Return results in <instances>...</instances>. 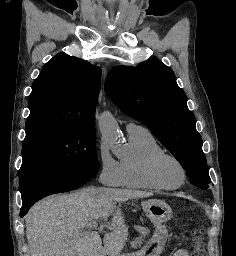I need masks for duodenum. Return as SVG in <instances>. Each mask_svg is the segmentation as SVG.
Returning a JSON list of instances; mask_svg holds the SVG:
<instances>
[{"mask_svg":"<svg viewBox=\"0 0 236 256\" xmlns=\"http://www.w3.org/2000/svg\"><path fill=\"white\" fill-rule=\"evenodd\" d=\"M111 255H112L111 250L108 247H104L100 254V256H111Z\"/></svg>","mask_w":236,"mask_h":256,"instance_id":"1","label":"duodenum"}]
</instances>
